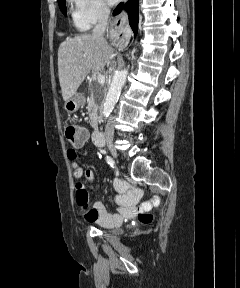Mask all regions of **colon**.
<instances>
[{
	"label": "colon",
	"instance_id": "obj_1",
	"mask_svg": "<svg viewBox=\"0 0 240 288\" xmlns=\"http://www.w3.org/2000/svg\"><path fill=\"white\" fill-rule=\"evenodd\" d=\"M63 131L65 134L66 139L72 144V145H78L85 141L86 134L83 127L77 126L70 122H65L63 124ZM139 221L143 224H147L152 220V216L149 214L141 213L138 216Z\"/></svg>",
	"mask_w": 240,
	"mask_h": 288
}]
</instances>
